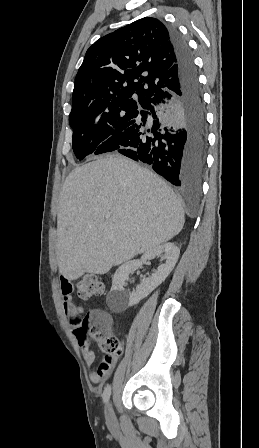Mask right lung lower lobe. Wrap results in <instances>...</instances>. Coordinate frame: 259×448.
Listing matches in <instances>:
<instances>
[{"mask_svg":"<svg viewBox=\"0 0 259 448\" xmlns=\"http://www.w3.org/2000/svg\"><path fill=\"white\" fill-rule=\"evenodd\" d=\"M179 73L176 90L142 105L114 150L153 170L176 187H198L205 168L207 125L198 74L187 42L166 26Z\"/></svg>","mask_w":259,"mask_h":448,"instance_id":"98d812e1","label":"right lung lower lobe"}]
</instances>
